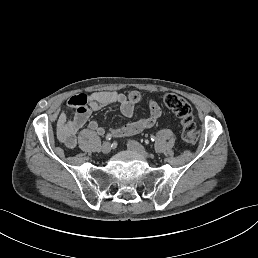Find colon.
Wrapping results in <instances>:
<instances>
[{
  "instance_id": "5ec220e1",
  "label": "colon",
  "mask_w": 258,
  "mask_h": 258,
  "mask_svg": "<svg viewBox=\"0 0 258 258\" xmlns=\"http://www.w3.org/2000/svg\"><path fill=\"white\" fill-rule=\"evenodd\" d=\"M164 104L169 108L181 122V137L190 144L197 143L199 132L193 120L190 104L182 97L169 93L163 98Z\"/></svg>"
}]
</instances>
